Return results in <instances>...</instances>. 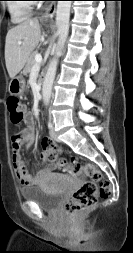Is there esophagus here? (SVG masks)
Returning a JSON list of instances; mask_svg holds the SVG:
<instances>
[{"label": "esophagus", "mask_w": 133, "mask_h": 253, "mask_svg": "<svg viewBox=\"0 0 133 253\" xmlns=\"http://www.w3.org/2000/svg\"><path fill=\"white\" fill-rule=\"evenodd\" d=\"M55 12H56V3L55 1H53L52 3L48 5L45 12L42 14L41 18L46 19V20L52 19Z\"/></svg>", "instance_id": "obj_1"}]
</instances>
